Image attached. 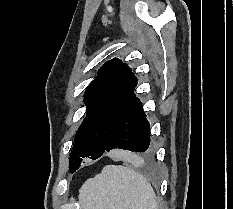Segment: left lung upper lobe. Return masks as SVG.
Segmentation results:
<instances>
[{
  "mask_svg": "<svg viewBox=\"0 0 233 209\" xmlns=\"http://www.w3.org/2000/svg\"><path fill=\"white\" fill-rule=\"evenodd\" d=\"M137 78L118 59L106 62L85 92L87 115L80 125L69 159L72 172L82 158H99L109 138L136 100Z\"/></svg>",
  "mask_w": 233,
  "mask_h": 209,
  "instance_id": "left-lung-upper-lobe-1",
  "label": "left lung upper lobe"
}]
</instances>
